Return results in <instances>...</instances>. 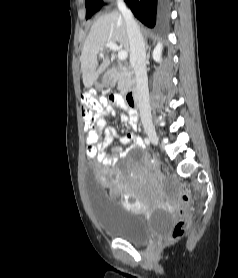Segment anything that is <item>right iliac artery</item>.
Wrapping results in <instances>:
<instances>
[{
    "mask_svg": "<svg viewBox=\"0 0 238 278\" xmlns=\"http://www.w3.org/2000/svg\"><path fill=\"white\" fill-rule=\"evenodd\" d=\"M144 141H145V143H146L147 145L150 144V140H149L148 138H145Z\"/></svg>",
    "mask_w": 238,
    "mask_h": 278,
    "instance_id": "82829eb1",
    "label": "right iliac artery"
}]
</instances>
